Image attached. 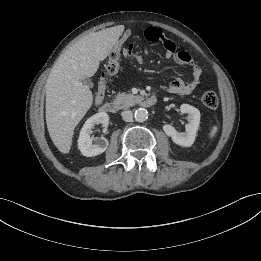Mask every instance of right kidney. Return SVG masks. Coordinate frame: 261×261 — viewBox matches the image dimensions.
<instances>
[{"label": "right kidney", "instance_id": "1", "mask_svg": "<svg viewBox=\"0 0 261 261\" xmlns=\"http://www.w3.org/2000/svg\"><path fill=\"white\" fill-rule=\"evenodd\" d=\"M96 124H102L104 127V132H106L109 124L108 114L105 112H98L95 115L89 117L83 125L78 138V148L80 152L86 157L97 156L103 153L109 145L108 140L104 137L100 138L96 144H92V138L90 137V134Z\"/></svg>", "mask_w": 261, "mask_h": 261}]
</instances>
